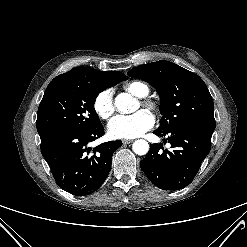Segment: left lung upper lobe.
<instances>
[{"instance_id":"1","label":"left lung upper lobe","mask_w":247,"mask_h":247,"mask_svg":"<svg viewBox=\"0 0 247 247\" xmlns=\"http://www.w3.org/2000/svg\"><path fill=\"white\" fill-rule=\"evenodd\" d=\"M128 75L150 83L157 90L162 114L158 131L193 126L213 133V100L198 75L165 60L135 67Z\"/></svg>"}]
</instances>
